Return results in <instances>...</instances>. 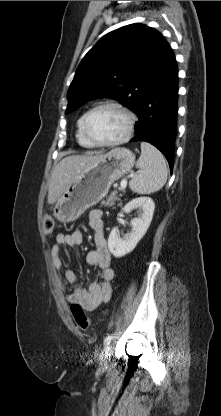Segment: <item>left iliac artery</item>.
I'll list each match as a JSON object with an SVG mask.
<instances>
[{
  "instance_id": "obj_1",
  "label": "left iliac artery",
  "mask_w": 221,
  "mask_h": 416,
  "mask_svg": "<svg viewBox=\"0 0 221 416\" xmlns=\"http://www.w3.org/2000/svg\"><path fill=\"white\" fill-rule=\"evenodd\" d=\"M113 334L108 335L105 339H104V345H108L111 340L113 339Z\"/></svg>"
}]
</instances>
